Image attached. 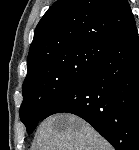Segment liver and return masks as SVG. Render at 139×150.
<instances>
[{"label":"liver","instance_id":"1","mask_svg":"<svg viewBox=\"0 0 139 150\" xmlns=\"http://www.w3.org/2000/svg\"><path fill=\"white\" fill-rule=\"evenodd\" d=\"M36 150H113V147L84 120L72 114H57L39 126Z\"/></svg>","mask_w":139,"mask_h":150}]
</instances>
